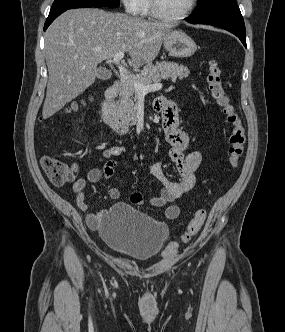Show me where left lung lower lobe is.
Here are the masks:
<instances>
[{"label": "left lung lower lobe", "instance_id": "0a47b994", "mask_svg": "<svg viewBox=\"0 0 285 332\" xmlns=\"http://www.w3.org/2000/svg\"><path fill=\"white\" fill-rule=\"evenodd\" d=\"M186 20L193 24L201 23L223 28L236 35L246 47L245 24L242 17H229L213 20H195L187 18Z\"/></svg>", "mask_w": 285, "mask_h": 332}]
</instances>
